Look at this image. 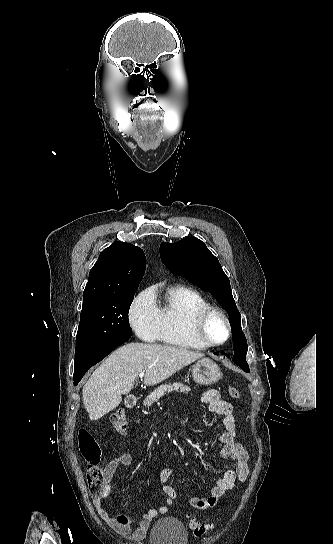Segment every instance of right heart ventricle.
<instances>
[{
  "label": "right heart ventricle",
  "mask_w": 333,
  "mask_h": 544,
  "mask_svg": "<svg viewBox=\"0 0 333 544\" xmlns=\"http://www.w3.org/2000/svg\"><path fill=\"white\" fill-rule=\"evenodd\" d=\"M208 306V300L199 291L184 285L170 287L158 307L161 316L160 339L182 348H206L195 336L194 321L197 314Z\"/></svg>",
  "instance_id": "1"
}]
</instances>
